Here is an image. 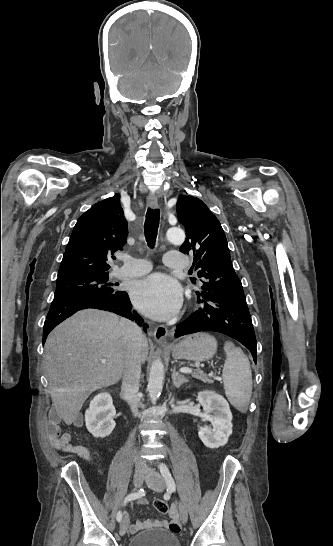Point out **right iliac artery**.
Here are the masks:
<instances>
[{
  "mask_svg": "<svg viewBox=\"0 0 333 546\" xmlns=\"http://www.w3.org/2000/svg\"><path fill=\"white\" fill-rule=\"evenodd\" d=\"M144 495H145V491H144L143 489H140V490H138L137 492L131 493V494H129V495H127V496L125 497V499H124V504H126L127 502H129V501H131V500L138 499V498H140V497H142V496H144ZM116 518H117V521H118V522H121V520H122V512H121V511H119V512L117 513V517H116Z\"/></svg>",
  "mask_w": 333,
  "mask_h": 546,
  "instance_id": "82829eb1",
  "label": "right iliac artery"
}]
</instances>
